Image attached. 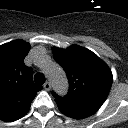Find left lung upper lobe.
Wrapping results in <instances>:
<instances>
[{
	"mask_svg": "<svg viewBox=\"0 0 128 128\" xmlns=\"http://www.w3.org/2000/svg\"><path fill=\"white\" fill-rule=\"evenodd\" d=\"M54 59L65 70L69 79L67 103L99 109L106 100L111 85L112 72L95 53L78 45L67 49L53 48Z\"/></svg>",
	"mask_w": 128,
	"mask_h": 128,
	"instance_id": "left-lung-upper-lobe-1",
	"label": "left lung upper lobe"
}]
</instances>
